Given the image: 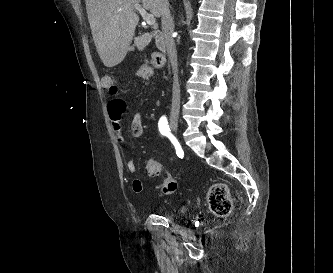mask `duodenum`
<instances>
[{"label": "duodenum", "instance_id": "410a0bca", "mask_svg": "<svg viewBox=\"0 0 333 273\" xmlns=\"http://www.w3.org/2000/svg\"><path fill=\"white\" fill-rule=\"evenodd\" d=\"M153 36H154V40H155L156 46L159 49V51L162 53H166L170 48L169 39L160 30L154 31Z\"/></svg>", "mask_w": 333, "mask_h": 273}]
</instances>
